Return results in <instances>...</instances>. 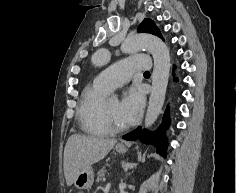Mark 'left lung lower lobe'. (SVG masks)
Here are the masks:
<instances>
[{
	"instance_id": "obj_1",
	"label": "left lung lower lobe",
	"mask_w": 237,
	"mask_h": 193,
	"mask_svg": "<svg viewBox=\"0 0 237 193\" xmlns=\"http://www.w3.org/2000/svg\"><path fill=\"white\" fill-rule=\"evenodd\" d=\"M168 113L169 112H168V108H167L165 111L164 117H163V123L159 127V129L156 133L149 134L146 130H143V133H141V127H139L135 131L123 136V139H125V140L140 139V141L143 143L152 144L157 147V152L165 157L167 140L163 134V129L165 126L169 125Z\"/></svg>"
}]
</instances>
